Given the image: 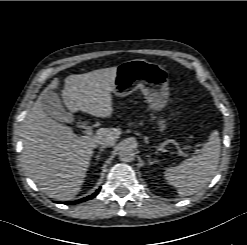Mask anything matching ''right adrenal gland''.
<instances>
[{
    "mask_svg": "<svg viewBox=\"0 0 247 245\" xmlns=\"http://www.w3.org/2000/svg\"><path fill=\"white\" fill-rule=\"evenodd\" d=\"M104 150V148H101L100 151L98 152L97 156L95 157V160H99L100 154L102 153V151Z\"/></svg>",
    "mask_w": 247,
    "mask_h": 245,
    "instance_id": "right-adrenal-gland-1",
    "label": "right adrenal gland"
}]
</instances>
